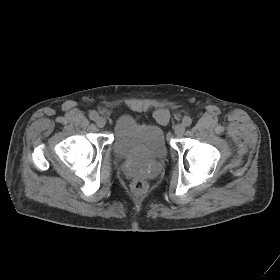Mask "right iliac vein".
<instances>
[{"label": "right iliac vein", "mask_w": 280, "mask_h": 280, "mask_svg": "<svg viewBox=\"0 0 280 280\" xmlns=\"http://www.w3.org/2000/svg\"><path fill=\"white\" fill-rule=\"evenodd\" d=\"M106 124V119L104 117H98L96 119V125L99 127V128H103Z\"/></svg>", "instance_id": "1"}]
</instances>
